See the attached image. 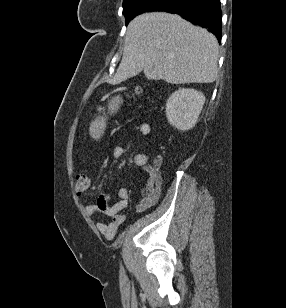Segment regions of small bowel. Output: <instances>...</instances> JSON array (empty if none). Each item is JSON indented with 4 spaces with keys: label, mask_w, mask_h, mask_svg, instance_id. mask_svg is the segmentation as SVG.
I'll return each mask as SVG.
<instances>
[{
    "label": "small bowel",
    "mask_w": 286,
    "mask_h": 308,
    "mask_svg": "<svg viewBox=\"0 0 286 308\" xmlns=\"http://www.w3.org/2000/svg\"><path fill=\"white\" fill-rule=\"evenodd\" d=\"M134 130H138L143 135L149 136L153 128L151 123L141 122L134 126L132 131ZM125 152V147L119 145L114 151V156L120 158ZM135 163L148 174L147 182L141 189V199L136 205V211L142 213L158 202L162 188V176L159 171V160H156L154 164H150L149 156L144 152L136 154ZM117 196L118 200L113 204H109L107 197L102 195L96 204H90L85 207V211L89 215L103 214L110 218L109 222L96 223L97 230L107 239H112L118 227L125 221V217L120 212L128 205V189L125 187L119 188Z\"/></svg>",
    "instance_id": "c3829d8e"
}]
</instances>
